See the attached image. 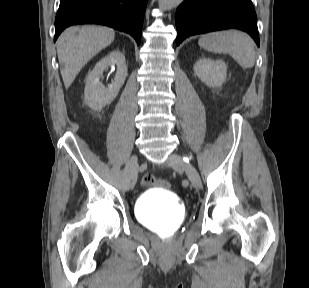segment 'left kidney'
Returning <instances> with one entry per match:
<instances>
[{
	"mask_svg": "<svg viewBox=\"0 0 309 288\" xmlns=\"http://www.w3.org/2000/svg\"><path fill=\"white\" fill-rule=\"evenodd\" d=\"M194 75L209 87L221 86L227 76V65L221 59L200 58L194 65Z\"/></svg>",
	"mask_w": 309,
	"mask_h": 288,
	"instance_id": "1",
	"label": "left kidney"
}]
</instances>
